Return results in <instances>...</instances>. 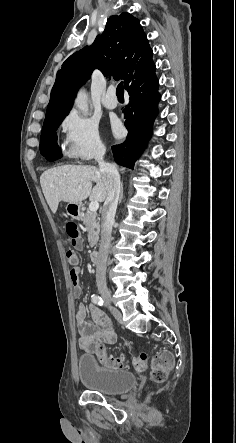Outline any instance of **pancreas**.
I'll return each mask as SVG.
<instances>
[{"mask_svg": "<svg viewBox=\"0 0 236 443\" xmlns=\"http://www.w3.org/2000/svg\"><path fill=\"white\" fill-rule=\"evenodd\" d=\"M88 232V242L91 248L95 247L99 241L100 220L95 212L87 211L81 218Z\"/></svg>", "mask_w": 236, "mask_h": 443, "instance_id": "1", "label": "pancreas"}]
</instances>
